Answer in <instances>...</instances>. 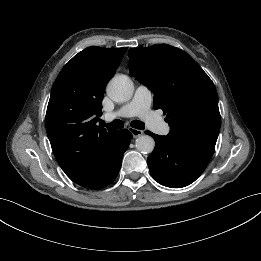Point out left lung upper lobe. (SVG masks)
I'll use <instances>...</instances> for the list:
<instances>
[{"label": "left lung upper lobe", "instance_id": "1", "mask_svg": "<svg viewBox=\"0 0 261 261\" xmlns=\"http://www.w3.org/2000/svg\"><path fill=\"white\" fill-rule=\"evenodd\" d=\"M130 73L154 94L153 107L167 114L171 138L215 147L220 130L218 95L208 75L183 50L156 44L129 51Z\"/></svg>", "mask_w": 261, "mask_h": 261}]
</instances>
